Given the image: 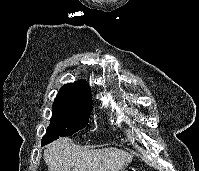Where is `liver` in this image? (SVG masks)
Wrapping results in <instances>:
<instances>
[{"instance_id": "1", "label": "liver", "mask_w": 199, "mask_h": 171, "mask_svg": "<svg viewBox=\"0 0 199 171\" xmlns=\"http://www.w3.org/2000/svg\"><path fill=\"white\" fill-rule=\"evenodd\" d=\"M48 171H123L132 155L117 148L83 149L69 138H61L44 150Z\"/></svg>"}]
</instances>
